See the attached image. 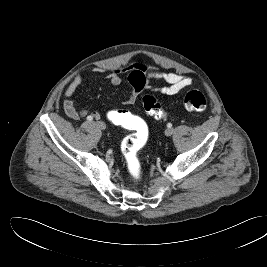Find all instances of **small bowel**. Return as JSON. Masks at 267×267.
<instances>
[{"label":"small bowel","instance_id":"small-bowel-1","mask_svg":"<svg viewBox=\"0 0 267 267\" xmlns=\"http://www.w3.org/2000/svg\"><path fill=\"white\" fill-rule=\"evenodd\" d=\"M128 70L130 71L128 81L133 90L129 98L123 102L124 105L135 103L139 94L144 89H154L155 91H159L166 95H175L192 83V79L190 77L174 72H161L159 68L154 65L133 63L128 67ZM119 72L120 70H114L105 77L108 83L113 87H117L121 84ZM151 80H161L165 83V85L158 88H152L148 85V82ZM86 81L87 79L84 76L77 74L64 91L65 99L63 102V109L65 113L73 119H80L84 117H92L93 119L100 118V114L98 112H89L85 109H77L75 106L74 95L77 90L86 83Z\"/></svg>","mask_w":267,"mask_h":267}]
</instances>
